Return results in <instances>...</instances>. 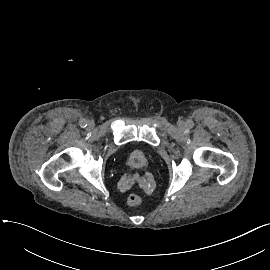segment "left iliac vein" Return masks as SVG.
Wrapping results in <instances>:
<instances>
[{
    "instance_id": "left-iliac-vein-1",
    "label": "left iliac vein",
    "mask_w": 270,
    "mask_h": 270,
    "mask_svg": "<svg viewBox=\"0 0 270 270\" xmlns=\"http://www.w3.org/2000/svg\"><path fill=\"white\" fill-rule=\"evenodd\" d=\"M179 127H180L181 129H184V128H185V123H184V122H180V123H179Z\"/></svg>"
}]
</instances>
